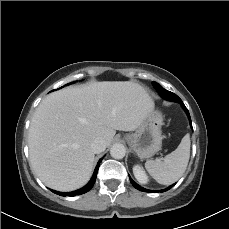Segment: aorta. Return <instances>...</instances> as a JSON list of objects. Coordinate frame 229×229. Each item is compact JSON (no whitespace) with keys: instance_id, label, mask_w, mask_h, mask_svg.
<instances>
[{"instance_id":"1","label":"aorta","mask_w":229,"mask_h":229,"mask_svg":"<svg viewBox=\"0 0 229 229\" xmlns=\"http://www.w3.org/2000/svg\"><path fill=\"white\" fill-rule=\"evenodd\" d=\"M126 154V148L123 144L115 143L110 149V155L115 159H122Z\"/></svg>"}]
</instances>
